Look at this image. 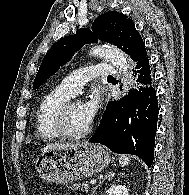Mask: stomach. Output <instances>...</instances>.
<instances>
[{"instance_id": "obj_1", "label": "stomach", "mask_w": 189, "mask_h": 195, "mask_svg": "<svg viewBox=\"0 0 189 195\" xmlns=\"http://www.w3.org/2000/svg\"><path fill=\"white\" fill-rule=\"evenodd\" d=\"M111 160L110 154L100 145L84 144L43 153L36 161V170L46 182L69 183L97 174Z\"/></svg>"}]
</instances>
